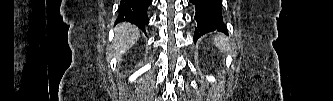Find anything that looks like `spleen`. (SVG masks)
I'll list each match as a JSON object with an SVG mask.
<instances>
[{
  "label": "spleen",
  "mask_w": 333,
  "mask_h": 101,
  "mask_svg": "<svg viewBox=\"0 0 333 101\" xmlns=\"http://www.w3.org/2000/svg\"><path fill=\"white\" fill-rule=\"evenodd\" d=\"M213 43L218 49L225 52H229L232 48V44L229 42V39L223 35H216L213 37Z\"/></svg>",
  "instance_id": "obj_1"
}]
</instances>
